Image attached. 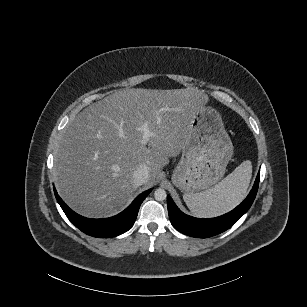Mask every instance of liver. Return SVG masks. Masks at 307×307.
<instances>
[{
  "instance_id": "liver-1",
  "label": "liver",
  "mask_w": 307,
  "mask_h": 307,
  "mask_svg": "<svg viewBox=\"0 0 307 307\" xmlns=\"http://www.w3.org/2000/svg\"><path fill=\"white\" fill-rule=\"evenodd\" d=\"M207 100L201 90L118 89L82 110L67 126L56 149L54 184L63 201L91 219L110 217L136 191L133 173L140 164L155 180L169 156L184 146L190 120ZM161 113V121L155 118ZM149 122L148 147L141 146L140 126Z\"/></svg>"
}]
</instances>
